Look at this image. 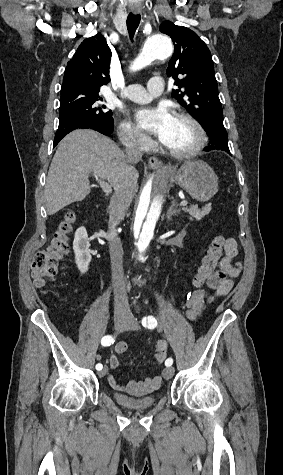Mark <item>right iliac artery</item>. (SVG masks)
<instances>
[{
	"label": "right iliac artery",
	"mask_w": 283,
	"mask_h": 475,
	"mask_svg": "<svg viewBox=\"0 0 283 475\" xmlns=\"http://www.w3.org/2000/svg\"><path fill=\"white\" fill-rule=\"evenodd\" d=\"M113 343H114V337L113 336L107 335V336H104L101 340V344L103 346H110ZM102 368H103L102 364L99 363V364L96 365V370L100 371Z\"/></svg>",
	"instance_id": "right-iliac-artery-1"
}]
</instances>
